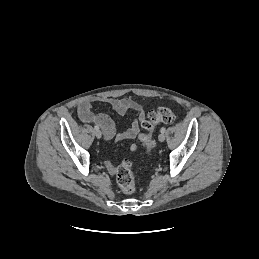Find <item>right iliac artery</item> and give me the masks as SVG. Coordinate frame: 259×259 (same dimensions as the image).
<instances>
[{
  "label": "right iliac artery",
  "instance_id": "right-iliac-artery-1",
  "mask_svg": "<svg viewBox=\"0 0 259 259\" xmlns=\"http://www.w3.org/2000/svg\"><path fill=\"white\" fill-rule=\"evenodd\" d=\"M95 130H99V127L97 125L94 126Z\"/></svg>",
  "mask_w": 259,
  "mask_h": 259
}]
</instances>
